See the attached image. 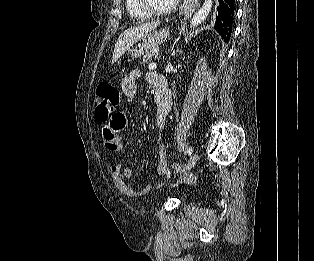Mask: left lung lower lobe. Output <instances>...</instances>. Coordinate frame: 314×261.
Masks as SVG:
<instances>
[{"label":"left lung lower lobe","instance_id":"0a47b994","mask_svg":"<svg viewBox=\"0 0 314 261\" xmlns=\"http://www.w3.org/2000/svg\"><path fill=\"white\" fill-rule=\"evenodd\" d=\"M234 11L235 0H219L215 29L222 36L225 42H227L231 36Z\"/></svg>","mask_w":314,"mask_h":261}]
</instances>
